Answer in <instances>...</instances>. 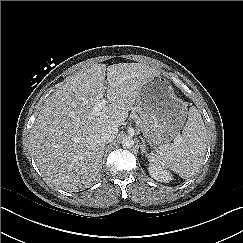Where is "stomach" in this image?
Here are the masks:
<instances>
[{"label":"stomach","instance_id":"obj_1","mask_svg":"<svg viewBox=\"0 0 243 243\" xmlns=\"http://www.w3.org/2000/svg\"><path fill=\"white\" fill-rule=\"evenodd\" d=\"M143 134L154 146L169 144L180 134L188 108L167 79L154 75L141 88L137 99Z\"/></svg>","mask_w":243,"mask_h":243}]
</instances>
